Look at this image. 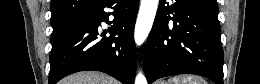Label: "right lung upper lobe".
Returning <instances> with one entry per match:
<instances>
[{
    "instance_id": "obj_1",
    "label": "right lung upper lobe",
    "mask_w": 260,
    "mask_h": 84,
    "mask_svg": "<svg viewBox=\"0 0 260 84\" xmlns=\"http://www.w3.org/2000/svg\"><path fill=\"white\" fill-rule=\"evenodd\" d=\"M101 0H52L50 10L53 28L70 24L95 8Z\"/></svg>"
}]
</instances>
